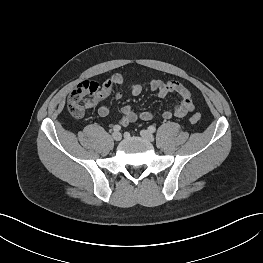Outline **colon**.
<instances>
[{"label":"colon","instance_id":"5ec220e1","mask_svg":"<svg viewBox=\"0 0 263 263\" xmlns=\"http://www.w3.org/2000/svg\"><path fill=\"white\" fill-rule=\"evenodd\" d=\"M98 91L99 86L93 81H84L78 84L68 96L67 108L69 113L75 118L82 117L86 109L92 105ZM200 118L199 114H194L190 121L191 123H197L200 121Z\"/></svg>","mask_w":263,"mask_h":263}]
</instances>
